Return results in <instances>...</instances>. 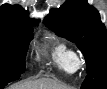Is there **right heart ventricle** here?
Segmentation results:
<instances>
[{"label":"right heart ventricle","instance_id":"1","mask_svg":"<svg viewBox=\"0 0 107 89\" xmlns=\"http://www.w3.org/2000/svg\"><path fill=\"white\" fill-rule=\"evenodd\" d=\"M51 55L56 66L67 74H72L76 71L75 60L77 57L76 51L67 43L57 41L51 48Z\"/></svg>","mask_w":107,"mask_h":89}]
</instances>
